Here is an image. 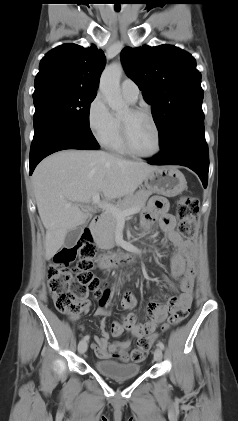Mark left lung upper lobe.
<instances>
[{
    "instance_id": "left-lung-upper-lobe-1",
    "label": "left lung upper lobe",
    "mask_w": 238,
    "mask_h": 421,
    "mask_svg": "<svg viewBox=\"0 0 238 421\" xmlns=\"http://www.w3.org/2000/svg\"><path fill=\"white\" fill-rule=\"evenodd\" d=\"M121 58L151 105L160 146L186 123L204 119L201 74L189 53L172 45L125 47Z\"/></svg>"
}]
</instances>
